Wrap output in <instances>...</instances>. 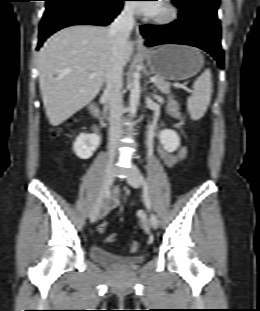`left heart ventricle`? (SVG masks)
<instances>
[{
  "instance_id": "b2bd125f",
  "label": "left heart ventricle",
  "mask_w": 260,
  "mask_h": 311,
  "mask_svg": "<svg viewBox=\"0 0 260 311\" xmlns=\"http://www.w3.org/2000/svg\"><path fill=\"white\" fill-rule=\"evenodd\" d=\"M162 12H163V5L160 4V6H159L157 12L155 13V15H159V14H161Z\"/></svg>"
}]
</instances>
